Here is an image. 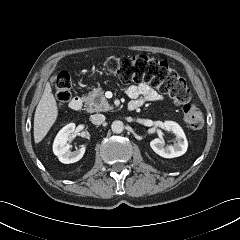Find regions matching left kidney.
I'll return each mask as SVG.
<instances>
[{
  "mask_svg": "<svg viewBox=\"0 0 240 240\" xmlns=\"http://www.w3.org/2000/svg\"><path fill=\"white\" fill-rule=\"evenodd\" d=\"M163 127L166 131L175 135L174 145L164 146L160 138H155L150 142L152 150L164 158H174L183 155L188 148V142L182 128L173 121H165Z\"/></svg>",
  "mask_w": 240,
  "mask_h": 240,
  "instance_id": "obj_1",
  "label": "left kidney"
}]
</instances>
